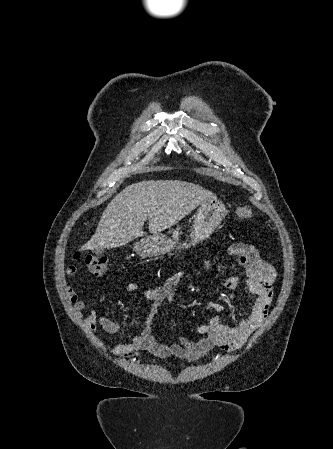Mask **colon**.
Instances as JSON below:
<instances>
[{"mask_svg":"<svg viewBox=\"0 0 333 449\" xmlns=\"http://www.w3.org/2000/svg\"><path fill=\"white\" fill-rule=\"evenodd\" d=\"M236 216L241 220H251L253 213L250 207L241 206L236 210ZM76 259H82L86 269L94 275H101L105 272L107 266V257L105 255L86 254L75 255Z\"/></svg>","mask_w":333,"mask_h":449,"instance_id":"obj_1","label":"colon"}]
</instances>
